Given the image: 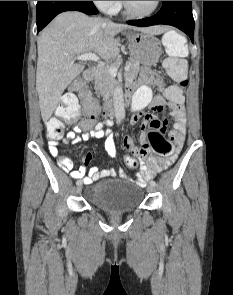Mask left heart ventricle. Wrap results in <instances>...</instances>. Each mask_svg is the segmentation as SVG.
I'll return each instance as SVG.
<instances>
[{
	"label": "left heart ventricle",
	"mask_w": 233,
	"mask_h": 295,
	"mask_svg": "<svg viewBox=\"0 0 233 295\" xmlns=\"http://www.w3.org/2000/svg\"><path fill=\"white\" fill-rule=\"evenodd\" d=\"M130 7L138 13H147L155 5V1H128Z\"/></svg>",
	"instance_id": "left-heart-ventricle-1"
}]
</instances>
